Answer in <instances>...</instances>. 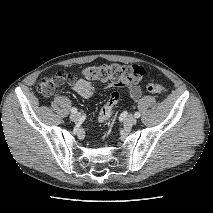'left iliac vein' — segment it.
<instances>
[{"label":"left iliac vein","mask_w":213,"mask_h":213,"mask_svg":"<svg viewBox=\"0 0 213 213\" xmlns=\"http://www.w3.org/2000/svg\"><path fill=\"white\" fill-rule=\"evenodd\" d=\"M136 122H137L136 117L133 115H128L125 119V123L127 125H134L136 124Z\"/></svg>","instance_id":"1"}]
</instances>
